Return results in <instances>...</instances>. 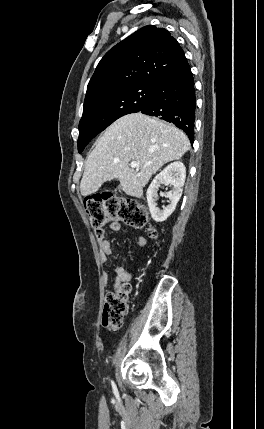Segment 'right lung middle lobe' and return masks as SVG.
I'll return each instance as SVG.
<instances>
[{"label": "right lung middle lobe", "instance_id": "1", "mask_svg": "<svg viewBox=\"0 0 264 429\" xmlns=\"http://www.w3.org/2000/svg\"><path fill=\"white\" fill-rule=\"evenodd\" d=\"M155 84H136L84 103L79 122L78 151L118 118L139 112L155 89Z\"/></svg>", "mask_w": 264, "mask_h": 429}]
</instances>
